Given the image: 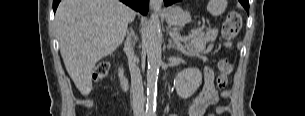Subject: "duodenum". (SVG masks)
<instances>
[{"mask_svg":"<svg viewBox=\"0 0 305 116\" xmlns=\"http://www.w3.org/2000/svg\"><path fill=\"white\" fill-rule=\"evenodd\" d=\"M119 79H120V83L123 87V89H128L129 87V81H128V77L126 75L125 69L123 67H120L119 69Z\"/></svg>","mask_w":305,"mask_h":116,"instance_id":"duodenum-1","label":"duodenum"}]
</instances>
